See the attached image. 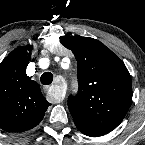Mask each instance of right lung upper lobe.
Instances as JSON below:
<instances>
[{
	"label": "right lung upper lobe",
	"instance_id": "cb5924a9",
	"mask_svg": "<svg viewBox=\"0 0 145 145\" xmlns=\"http://www.w3.org/2000/svg\"><path fill=\"white\" fill-rule=\"evenodd\" d=\"M32 46L19 47L0 64V128L23 132L37 126L51 105L26 74Z\"/></svg>",
	"mask_w": 145,
	"mask_h": 145
}]
</instances>
